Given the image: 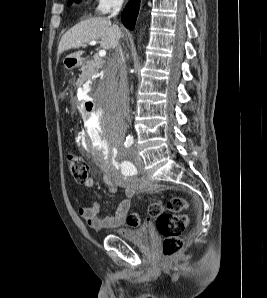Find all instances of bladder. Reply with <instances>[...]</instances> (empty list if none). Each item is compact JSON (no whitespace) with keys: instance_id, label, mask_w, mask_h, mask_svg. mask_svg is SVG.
I'll list each match as a JSON object with an SVG mask.
<instances>
[{"instance_id":"obj_1","label":"bladder","mask_w":267,"mask_h":298,"mask_svg":"<svg viewBox=\"0 0 267 298\" xmlns=\"http://www.w3.org/2000/svg\"><path fill=\"white\" fill-rule=\"evenodd\" d=\"M118 235L125 241L142 249H148L155 241L153 227L149 224L143 225L135 230H127Z\"/></svg>"}]
</instances>
